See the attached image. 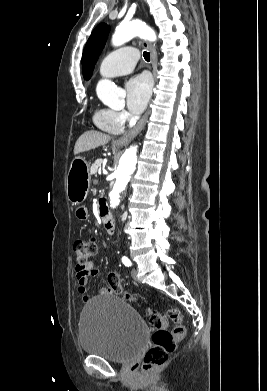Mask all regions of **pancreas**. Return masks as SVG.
Instances as JSON below:
<instances>
[{
  "mask_svg": "<svg viewBox=\"0 0 267 391\" xmlns=\"http://www.w3.org/2000/svg\"><path fill=\"white\" fill-rule=\"evenodd\" d=\"M103 163V160L102 159H97L91 166L90 168V173L95 175L99 169V167L101 166V164Z\"/></svg>",
  "mask_w": 267,
  "mask_h": 391,
  "instance_id": "pancreas-1",
  "label": "pancreas"
}]
</instances>
